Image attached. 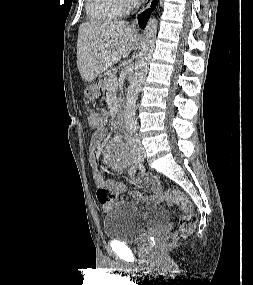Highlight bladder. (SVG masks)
I'll return each mask as SVG.
<instances>
[{"label":"bladder","mask_w":253,"mask_h":285,"mask_svg":"<svg viewBox=\"0 0 253 285\" xmlns=\"http://www.w3.org/2000/svg\"><path fill=\"white\" fill-rule=\"evenodd\" d=\"M168 213L162 206L120 202L111 206L102 220L104 236L122 243H133L165 224Z\"/></svg>","instance_id":"1"}]
</instances>
